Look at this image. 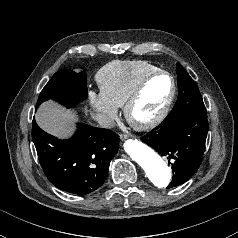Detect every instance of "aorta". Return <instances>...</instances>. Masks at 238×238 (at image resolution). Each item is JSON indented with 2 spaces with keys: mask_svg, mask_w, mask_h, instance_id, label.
Returning <instances> with one entry per match:
<instances>
[{
  "mask_svg": "<svg viewBox=\"0 0 238 238\" xmlns=\"http://www.w3.org/2000/svg\"><path fill=\"white\" fill-rule=\"evenodd\" d=\"M124 150L146 172L150 181L157 187H166L171 180V171L163 159L142 142L128 139Z\"/></svg>",
  "mask_w": 238,
  "mask_h": 238,
  "instance_id": "aorta-1",
  "label": "aorta"
}]
</instances>
